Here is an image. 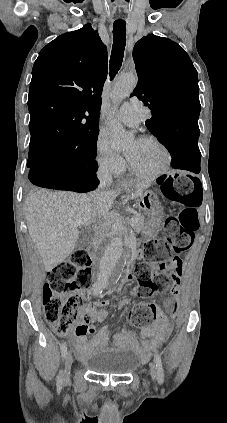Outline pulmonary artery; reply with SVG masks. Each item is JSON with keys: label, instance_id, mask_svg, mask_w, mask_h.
Instances as JSON below:
<instances>
[{"label": "pulmonary artery", "instance_id": "obj_1", "mask_svg": "<svg viewBox=\"0 0 227 423\" xmlns=\"http://www.w3.org/2000/svg\"><path fill=\"white\" fill-rule=\"evenodd\" d=\"M116 116L126 126L136 127L141 120L149 119L150 113L138 111L136 104L133 102H125L117 111Z\"/></svg>", "mask_w": 227, "mask_h": 423}]
</instances>
